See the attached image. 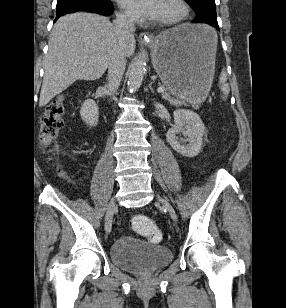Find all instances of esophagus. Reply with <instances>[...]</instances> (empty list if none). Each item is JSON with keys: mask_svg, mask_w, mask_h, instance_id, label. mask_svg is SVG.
I'll list each match as a JSON object with an SVG mask.
<instances>
[{"mask_svg": "<svg viewBox=\"0 0 286 308\" xmlns=\"http://www.w3.org/2000/svg\"><path fill=\"white\" fill-rule=\"evenodd\" d=\"M151 39H152V36L148 32L142 33L140 35V40L143 42L150 41Z\"/></svg>", "mask_w": 286, "mask_h": 308, "instance_id": "34e87169", "label": "esophagus"}]
</instances>
